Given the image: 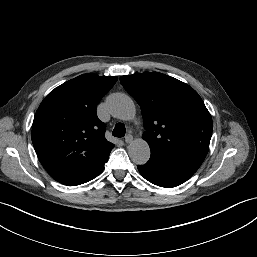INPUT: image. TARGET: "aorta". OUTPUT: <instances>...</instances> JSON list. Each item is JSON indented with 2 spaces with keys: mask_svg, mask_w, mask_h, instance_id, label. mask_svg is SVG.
I'll use <instances>...</instances> for the list:
<instances>
[{
  "mask_svg": "<svg viewBox=\"0 0 257 257\" xmlns=\"http://www.w3.org/2000/svg\"><path fill=\"white\" fill-rule=\"evenodd\" d=\"M108 110L112 116L121 120H130L135 115V104L126 94L115 93L107 101ZM131 160L138 165L147 163L150 158V147L142 139L134 140L128 147Z\"/></svg>",
  "mask_w": 257,
  "mask_h": 257,
  "instance_id": "762f6f07",
  "label": "aorta"
}]
</instances>
